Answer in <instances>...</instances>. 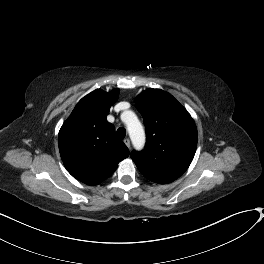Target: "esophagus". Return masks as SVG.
<instances>
[{
  "instance_id": "esophagus-1",
  "label": "esophagus",
  "mask_w": 264,
  "mask_h": 264,
  "mask_svg": "<svg viewBox=\"0 0 264 264\" xmlns=\"http://www.w3.org/2000/svg\"><path fill=\"white\" fill-rule=\"evenodd\" d=\"M125 145L129 148L130 147V140L128 138L124 139Z\"/></svg>"
}]
</instances>
